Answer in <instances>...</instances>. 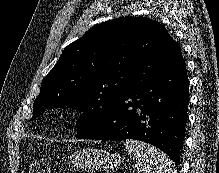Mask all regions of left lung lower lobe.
Returning a JSON list of instances; mask_svg holds the SVG:
<instances>
[{"mask_svg":"<svg viewBox=\"0 0 219 173\" xmlns=\"http://www.w3.org/2000/svg\"><path fill=\"white\" fill-rule=\"evenodd\" d=\"M188 77L180 46L169 35L133 73V87L86 139H137L179 164L189 102Z\"/></svg>","mask_w":219,"mask_h":173,"instance_id":"0a47b994","label":"left lung lower lobe"}]
</instances>
